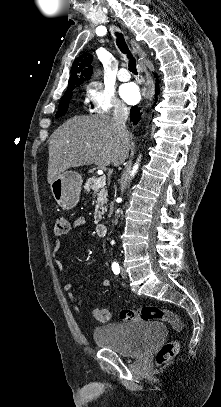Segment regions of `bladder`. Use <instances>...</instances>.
<instances>
[{"label":"bladder","mask_w":221,"mask_h":407,"mask_svg":"<svg viewBox=\"0 0 221 407\" xmlns=\"http://www.w3.org/2000/svg\"><path fill=\"white\" fill-rule=\"evenodd\" d=\"M165 332L163 324L110 323L97 326L93 330V339L97 346L113 349L125 357H136L145 353L154 340Z\"/></svg>","instance_id":"1"}]
</instances>
